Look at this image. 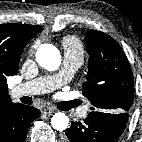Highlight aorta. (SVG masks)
Returning <instances> with one entry per match:
<instances>
[{
  "instance_id": "1",
  "label": "aorta",
  "mask_w": 142,
  "mask_h": 142,
  "mask_svg": "<svg viewBox=\"0 0 142 142\" xmlns=\"http://www.w3.org/2000/svg\"><path fill=\"white\" fill-rule=\"evenodd\" d=\"M36 60L44 69L54 71L61 64V55L54 45L47 43L37 49ZM51 125L57 131H64L69 125V118L62 112L55 113L51 118Z\"/></svg>"
}]
</instances>
